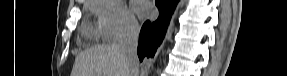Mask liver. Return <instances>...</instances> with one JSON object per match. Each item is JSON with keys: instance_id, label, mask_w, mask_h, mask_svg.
<instances>
[{"instance_id": "6515ba94", "label": "liver", "mask_w": 287, "mask_h": 76, "mask_svg": "<svg viewBox=\"0 0 287 76\" xmlns=\"http://www.w3.org/2000/svg\"><path fill=\"white\" fill-rule=\"evenodd\" d=\"M72 76H130L131 67L118 44L101 45L81 52L75 60Z\"/></svg>"}]
</instances>
